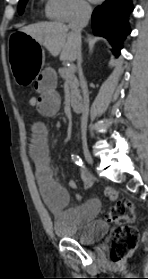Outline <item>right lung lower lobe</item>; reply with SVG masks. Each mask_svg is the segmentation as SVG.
<instances>
[{
    "mask_svg": "<svg viewBox=\"0 0 148 279\" xmlns=\"http://www.w3.org/2000/svg\"><path fill=\"white\" fill-rule=\"evenodd\" d=\"M133 11L131 0H106L92 14V27L96 35L107 38L120 55L122 41L130 33L129 13Z\"/></svg>",
    "mask_w": 148,
    "mask_h": 279,
    "instance_id": "1",
    "label": "right lung lower lobe"
}]
</instances>
